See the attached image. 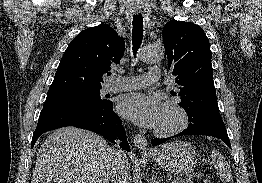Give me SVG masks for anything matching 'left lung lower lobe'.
Listing matches in <instances>:
<instances>
[{
  "label": "left lung lower lobe",
  "mask_w": 262,
  "mask_h": 183,
  "mask_svg": "<svg viewBox=\"0 0 262 183\" xmlns=\"http://www.w3.org/2000/svg\"><path fill=\"white\" fill-rule=\"evenodd\" d=\"M185 135H207L213 136L224 141L230 148V141L227 135V131L222 119H204L196 123L189 124L188 127L181 133L164 139H152L151 144L153 146L159 145L168 141L171 138L185 136Z\"/></svg>",
  "instance_id": "obj_1"
}]
</instances>
